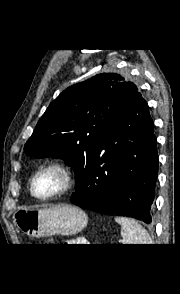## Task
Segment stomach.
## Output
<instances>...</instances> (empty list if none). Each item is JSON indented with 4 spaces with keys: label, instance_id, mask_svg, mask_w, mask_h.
<instances>
[{
    "label": "stomach",
    "instance_id": "1",
    "mask_svg": "<svg viewBox=\"0 0 180 294\" xmlns=\"http://www.w3.org/2000/svg\"><path fill=\"white\" fill-rule=\"evenodd\" d=\"M13 218L18 229L35 238L74 235L84 229L88 222L86 213L72 205L19 209Z\"/></svg>",
    "mask_w": 180,
    "mask_h": 294
}]
</instances>
